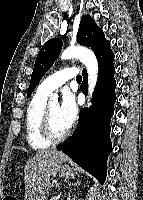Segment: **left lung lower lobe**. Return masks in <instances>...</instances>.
<instances>
[{"instance_id":"0a47b994","label":"left lung lower lobe","mask_w":143,"mask_h":200,"mask_svg":"<svg viewBox=\"0 0 143 200\" xmlns=\"http://www.w3.org/2000/svg\"><path fill=\"white\" fill-rule=\"evenodd\" d=\"M99 66L98 83L95 87L92 105L80 112L79 124L71 138L57 149L62 150L71 159L92 174L100 183L107 175V158L112 152L110 140V119L116 101V81L114 79V54L110 42L96 54ZM81 85L82 92H88V76L84 69Z\"/></svg>"}]
</instances>
